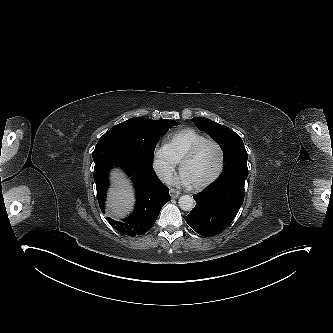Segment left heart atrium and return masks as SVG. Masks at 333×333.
Here are the masks:
<instances>
[{
    "mask_svg": "<svg viewBox=\"0 0 333 333\" xmlns=\"http://www.w3.org/2000/svg\"><path fill=\"white\" fill-rule=\"evenodd\" d=\"M172 183L185 186L192 184L190 178L188 177L187 173L184 170H181L180 174L175 178H173Z\"/></svg>",
    "mask_w": 333,
    "mask_h": 333,
    "instance_id": "obj_1",
    "label": "left heart atrium"
}]
</instances>
